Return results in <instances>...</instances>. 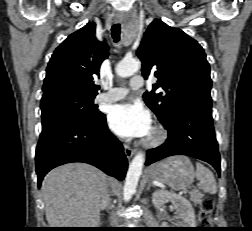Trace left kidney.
<instances>
[{"mask_svg":"<svg viewBox=\"0 0 252 231\" xmlns=\"http://www.w3.org/2000/svg\"><path fill=\"white\" fill-rule=\"evenodd\" d=\"M168 200L171 201L176 214L181 219L179 226L181 228H195V212L186 198L166 190H156L152 195V202L157 209H160Z\"/></svg>","mask_w":252,"mask_h":231,"instance_id":"1","label":"left kidney"}]
</instances>
